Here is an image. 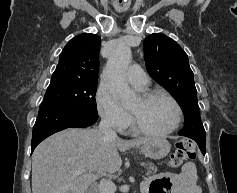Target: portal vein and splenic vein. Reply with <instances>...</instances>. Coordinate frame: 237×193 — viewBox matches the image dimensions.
Listing matches in <instances>:
<instances>
[{
	"instance_id": "1",
	"label": "portal vein and splenic vein",
	"mask_w": 237,
	"mask_h": 193,
	"mask_svg": "<svg viewBox=\"0 0 237 193\" xmlns=\"http://www.w3.org/2000/svg\"><path fill=\"white\" fill-rule=\"evenodd\" d=\"M83 172H85L84 169H78V170H76V171L73 173V175H74V176L80 175V174H82ZM103 175L106 176L107 174L104 173ZM108 176H109L110 178H116V176H114V175H112V174H108Z\"/></svg>"
}]
</instances>
